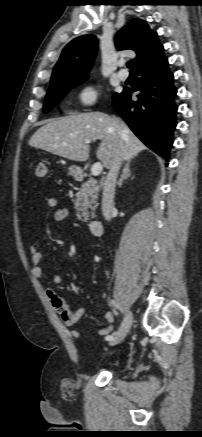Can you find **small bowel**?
I'll use <instances>...</instances> for the list:
<instances>
[{"label": "small bowel", "mask_w": 202, "mask_h": 437, "mask_svg": "<svg viewBox=\"0 0 202 437\" xmlns=\"http://www.w3.org/2000/svg\"><path fill=\"white\" fill-rule=\"evenodd\" d=\"M46 204L50 208H55L58 204V201L54 197H49L46 201ZM69 216L70 212L66 208H59L54 213V219L56 221L65 220ZM30 253L32 265L31 273L33 277L41 278L44 274L42 265L45 255L33 245L30 246ZM53 283L55 285H60L62 283V276L58 273L55 274L53 277ZM46 295L51 307L57 312L67 327H74L82 317L89 314V309L85 307L77 310H71L64 299L60 297L52 288H47ZM104 320L106 322V326L99 330V335L107 337L112 330L114 315L111 312H107L104 315ZM71 335L75 338H78L81 335V332L77 329H73L71 331Z\"/></svg>", "instance_id": "1"}]
</instances>
